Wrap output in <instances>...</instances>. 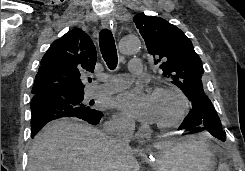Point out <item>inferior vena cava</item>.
Returning a JSON list of instances; mask_svg holds the SVG:
<instances>
[{"mask_svg":"<svg viewBox=\"0 0 245 171\" xmlns=\"http://www.w3.org/2000/svg\"><path fill=\"white\" fill-rule=\"evenodd\" d=\"M103 129L110 135V138L116 144L117 148L121 150H126L129 148L133 129L132 124L123 121L106 123Z\"/></svg>","mask_w":245,"mask_h":171,"instance_id":"obj_1","label":"inferior vena cava"}]
</instances>
